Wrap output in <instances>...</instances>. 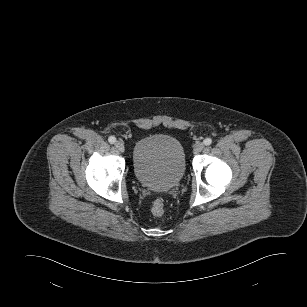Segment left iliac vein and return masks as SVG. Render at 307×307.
<instances>
[{"label":"left iliac vein","instance_id":"obj_1","mask_svg":"<svg viewBox=\"0 0 307 307\" xmlns=\"http://www.w3.org/2000/svg\"><path fill=\"white\" fill-rule=\"evenodd\" d=\"M203 148H204V144L203 143H197L194 146L193 153L194 154H198L199 152H201L203 150Z\"/></svg>","mask_w":307,"mask_h":307}]
</instances>
